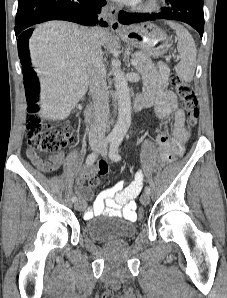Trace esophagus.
<instances>
[{"label": "esophagus", "instance_id": "esophagus-1", "mask_svg": "<svg viewBox=\"0 0 227 298\" xmlns=\"http://www.w3.org/2000/svg\"><path fill=\"white\" fill-rule=\"evenodd\" d=\"M117 15H118V8L114 4H110L108 7L107 16L106 17H105V15L101 16L99 18V21H101L102 19L104 21L108 20V23L112 30L120 31L122 29V27L117 20Z\"/></svg>", "mask_w": 227, "mask_h": 298}]
</instances>
